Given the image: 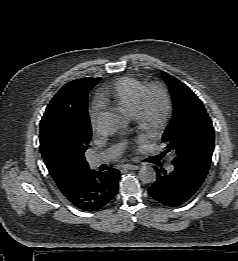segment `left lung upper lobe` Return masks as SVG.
<instances>
[{
  "mask_svg": "<svg viewBox=\"0 0 238 261\" xmlns=\"http://www.w3.org/2000/svg\"><path fill=\"white\" fill-rule=\"evenodd\" d=\"M174 110L162 141L175 154L173 165L206 176L214 150V127L201 100L178 79L163 72Z\"/></svg>",
  "mask_w": 238,
  "mask_h": 261,
  "instance_id": "obj_1",
  "label": "left lung upper lobe"
}]
</instances>
